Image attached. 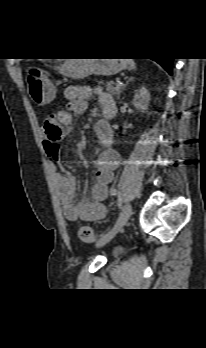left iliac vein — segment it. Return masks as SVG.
I'll return each instance as SVG.
<instances>
[{
  "mask_svg": "<svg viewBox=\"0 0 206 348\" xmlns=\"http://www.w3.org/2000/svg\"><path fill=\"white\" fill-rule=\"evenodd\" d=\"M132 212L131 204H126L115 224V226L98 241L97 246H103L108 243L128 222Z\"/></svg>",
  "mask_w": 206,
  "mask_h": 348,
  "instance_id": "4c4485c4",
  "label": "left iliac vein"
}]
</instances>
